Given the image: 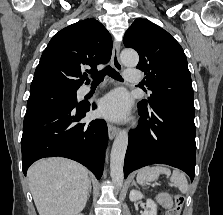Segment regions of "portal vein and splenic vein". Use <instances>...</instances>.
<instances>
[{
    "instance_id": "obj_1",
    "label": "portal vein and splenic vein",
    "mask_w": 223,
    "mask_h": 215,
    "mask_svg": "<svg viewBox=\"0 0 223 215\" xmlns=\"http://www.w3.org/2000/svg\"><path fill=\"white\" fill-rule=\"evenodd\" d=\"M153 182L156 184L158 181L155 179Z\"/></svg>"
}]
</instances>
